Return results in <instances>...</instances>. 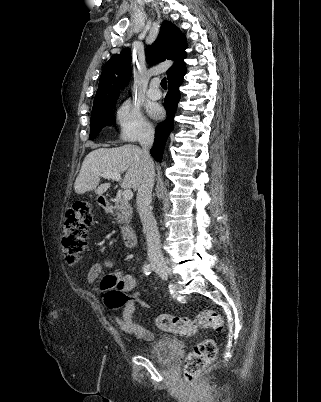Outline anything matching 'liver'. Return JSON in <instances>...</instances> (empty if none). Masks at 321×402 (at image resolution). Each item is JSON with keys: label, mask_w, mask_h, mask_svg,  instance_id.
Returning <instances> with one entry per match:
<instances>
[{"label": "liver", "mask_w": 321, "mask_h": 402, "mask_svg": "<svg viewBox=\"0 0 321 402\" xmlns=\"http://www.w3.org/2000/svg\"><path fill=\"white\" fill-rule=\"evenodd\" d=\"M105 172H126L121 187L138 189L144 173L142 149L136 145L127 144L91 151L85 157L75 180V192L84 194L94 190L97 195H102L111 186L110 183L99 185L100 176Z\"/></svg>", "instance_id": "liver-1"}]
</instances>
